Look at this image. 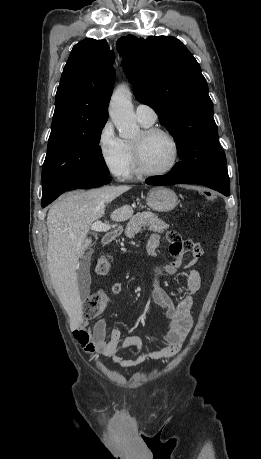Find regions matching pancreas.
Instances as JSON below:
<instances>
[{
    "mask_svg": "<svg viewBox=\"0 0 261 459\" xmlns=\"http://www.w3.org/2000/svg\"><path fill=\"white\" fill-rule=\"evenodd\" d=\"M147 222L148 229L153 232L162 233L166 230L169 225L164 223L158 216L150 211L137 213L128 222L125 235L128 238H134V236L145 226Z\"/></svg>",
    "mask_w": 261,
    "mask_h": 459,
    "instance_id": "obj_1",
    "label": "pancreas"
}]
</instances>
